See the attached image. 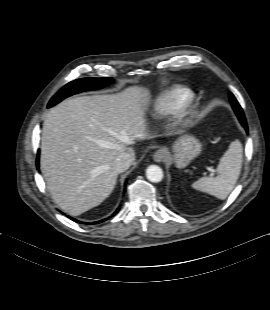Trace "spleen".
Masks as SVG:
<instances>
[{"label":"spleen","mask_w":270,"mask_h":310,"mask_svg":"<svg viewBox=\"0 0 270 310\" xmlns=\"http://www.w3.org/2000/svg\"><path fill=\"white\" fill-rule=\"evenodd\" d=\"M242 167V145L234 141L221 157L216 177H202L192 184V188L224 200L233 190Z\"/></svg>","instance_id":"3e777b00"}]
</instances>
